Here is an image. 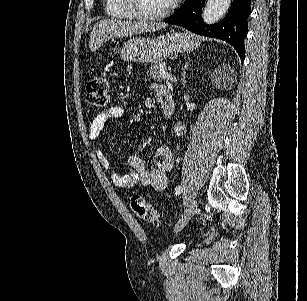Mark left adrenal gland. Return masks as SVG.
I'll use <instances>...</instances> for the list:
<instances>
[{"label": "left adrenal gland", "instance_id": "a2214340", "mask_svg": "<svg viewBox=\"0 0 307 301\" xmlns=\"http://www.w3.org/2000/svg\"><path fill=\"white\" fill-rule=\"evenodd\" d=\"M189 66V62H185L183 68H182V80H183V84H185V82H187L186 80V68H188Z\"/></svg>", "mask_w": 307, "mask_h": 301}]
</instances>
